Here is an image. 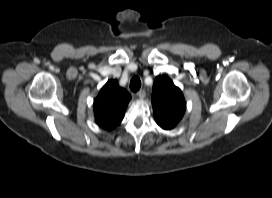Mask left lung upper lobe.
<instances>
[{"instance_id": "1", "label": "left lung upper lobe", "mask_w": 272, "mask_h": 198, "mask_svg": "<svg viewBox=\"0 0 272 198\" xmlns=\"http://www.w3.org/2000/svg\"><path fill=\"white\" fill-rule=\"evenodd\" d=\"M152 104L157 124L172 129L181 120L186 103L181 90L167 76H158L153 85Z\"/></svg>"}]
</instances>
